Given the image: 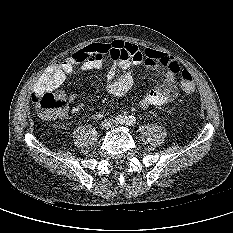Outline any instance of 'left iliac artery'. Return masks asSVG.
Segmentation results:
<instances>
[{
  "label": "left iliac artery",
  "mask_w": 233,
  "mask_h": 233,
  "mask_svg": "<svg viewBox=\"0 0 233 233\" xmlns=\"http://www.w3.org/2000/svg\"><path fill=\"white\" fill-rule=\"evenodd\" d=\"M135 123H136L135 117H134V116H129L128 119H127L126 124H127L128 126H134Z\"/></svg>",
  "instance_id": "44dca946"
}]
</instances>
